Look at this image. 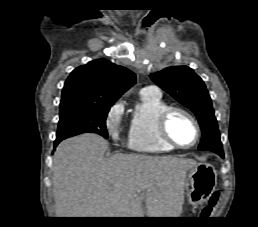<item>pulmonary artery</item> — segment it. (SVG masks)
Wrapping results in <instances>:
<instances>
[{"instance_id": "obj_1", "label": "pulmonary artery", "mask_w": 258, "mask_h": 227, "mask_svg": "<svg viewBox=\"0 0 258 227\" xmlns=\"http://www.w3.org/2000/svg\"><path fill=\"white\" fill-rule=\"evenodd\" d=\"M141 92L160 95L159 89L155 86L144 87Z\"/></svg>"}]
</instances>
